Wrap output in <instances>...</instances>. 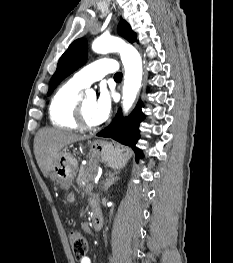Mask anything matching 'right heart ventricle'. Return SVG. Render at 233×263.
<instances>
[{
    "instance_id": "1",
    "label": "right heart ventricle",
    "mask_w": 233,
    "mask_h": 263,
    "mask_svg": "<svg viewBox=\"0 0 233 263\" xmlns=\"http://www.w3.org/2000/svg\"><path fill=\"white\" fill-rule=\"evenodd\" d=\"M82 88L73 79H70L54 93L49 105V117L54 126L79 128L75 113Z\"/></svg>"
}]
</instances>
